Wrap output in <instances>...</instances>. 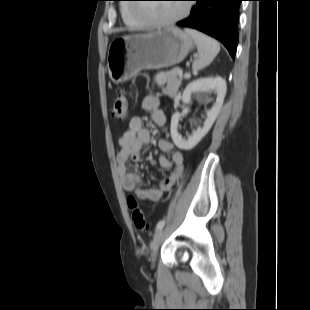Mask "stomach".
<instances>
[{"instance_id": "obj_1", "label": "stomach", "mask_w": 310, "mask_h": 310, "mask_svg": "<svg viewBox=\"0 0 310 310\" xmlns=\"http://www.w3.org/2000/svg\"><path fill=\"white\" fill-rule=\"evenodd\" d=\"M192 48V37L176 27L117 38L108 49L109 77L119 84L141 70L171 67L183 61Z\"/></svg>"}]
</instances>
